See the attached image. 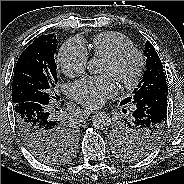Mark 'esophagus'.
<instances>
[{
  "label": "esophagus",
  "mask_w": 184,
  "mask_h": 184,
  "mask_svg": "<svg viewBox=\"0 0 184 184\" xmlns=\"http://www.w3.org/2000/svg\"><path fill=\"white\" fill-rule=\"evenodd\" d=\"M84 112H85L86 114H91V113H95L96 111L85 110Z\"/></svg>",
  "instance_id": "1"
}]
</instances>
